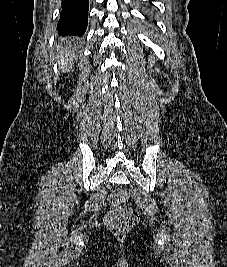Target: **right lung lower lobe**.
Instances as JSON below:
<instances>
[{"label":"right lung lower lobe","instance_id":"98d812e1","mask_svg":"<svg viewBox=\"0 0 227 267\" xmlns=\"http://www.w3.org/2000/svg\"><path fill=\"white\" fill-rule=\"evenodd\" d=\"M89 0H62L57 31L68 43L76 42L87 28Z\"/></svg>","mask_w":227,"mask_h":267}]
</instances>
